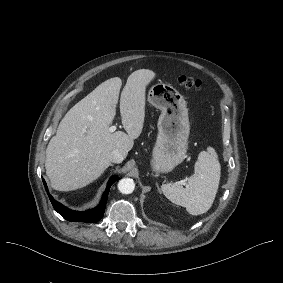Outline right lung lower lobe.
I'll return each mask as SVG.
<instances>
[{
  "label": "right lung lower lobe",
  "instance_id": "right-lung-lower-lobe-1",
  "mask_svg": "<svg viewBox=\"0 0 283 283\" xmlns=\"http://www.w3.org/2000/svg\"><path fill=\"white\" fill-rule=\"evenodd\" d=\"M118 179L117 176H113L110 178L107 188L105 190V193L101 199L100 204L91 210L85 211V212H77V211H73L70 210L68 208H66L65 206H63L62 204H60L59 202H57L56 200L53 199V197L49 194L48 192V188L47 185L45 183V180L43 179V183L45 186V189L48 193V196L50 198V201L54 207V209L63 216L64 219L68 220V221H72V222H88V223H94L99 221L103 215H104V210L106 207V202H107V198H108V193H109V189L111 187V185L113 184V182H115Z\"/></svg>",
  "mask_w": 283,
  "mask_h": 283
}]
</instances>
